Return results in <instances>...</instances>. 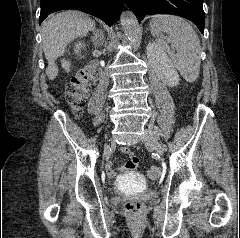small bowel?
I'll use <instances>...</instances> for the list:
<instances>
[{
	"label": "small bowel",
	"mask_w": 240,
	"mask_h": 238,
	"mask_svg": "<svg viewBox=\"0 0 240 238\" xmlns=\"http://www.w3.org/2000/svg\"><path fill=\"white\" fill-rule=\"evenodd\" d=\"M131 147L130 143H120L121 152L129 156V159H126V164H124V169H129V171H136V167H139L140 159L139 156H134L135 152L130 151L128 148ZM107 175H117L118 171L116 167H113L112 164H107ZM113 167V168H112ZM121 167L120 165L118 166Z\"/></svg>",
	"instance_id": "c3829d8e"
}]
</instances>
